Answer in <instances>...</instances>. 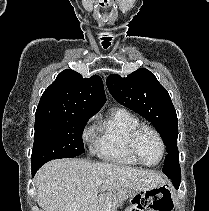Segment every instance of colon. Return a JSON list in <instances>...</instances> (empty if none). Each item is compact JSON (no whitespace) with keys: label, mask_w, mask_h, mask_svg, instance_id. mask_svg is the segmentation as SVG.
I'll return each instance as SVG.
<instances>
[{"label":"colon","mask_w":209,"mask_h":211,"mask_svg":"<svg viewBox=\"0 0 209 211\" xmlns=\"http://www.w3.org/2000/svg\"><path fill=\"white\" fill-rule=\"evenodd\" d=\"M170 208V191L167 187H160L136 195L126 211H169Z\"/></svg>","instance_id":"colon-1"}]
</instances>
